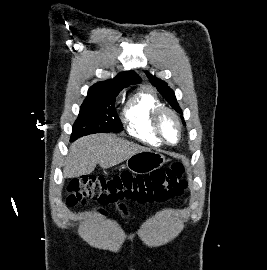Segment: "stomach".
Returning a JSON list of instances; mask_svg holds the SVG:
<instances>
[{"instance_id":"1","label":"stomach","mask_w":267,"mask_h":270,"mask_svg":"<svg viewBox=\"0 0 267 270\" xmlns=\"http://www.w3.org/2000/svg\"><path fill=\"white\" fill-rule=\"evenodd\" d=\"M166 159L164 155L151 150L138 152L127 159L126 167L132 173L146 174L159 169Z\"/></svg>"}]
</instances>
